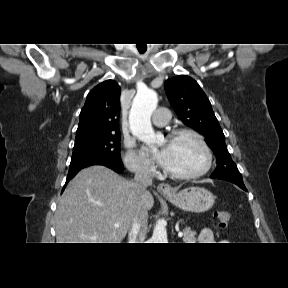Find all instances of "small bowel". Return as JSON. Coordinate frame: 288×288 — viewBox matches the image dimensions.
Segmentation results:
<instances>
[{"label": "small bowel", "instance_id": "1", "mask_svg": "<svg viewBox=\"0 0 288 288\" xmlns=\"http://www.w3.org/2000/svg\"><path fill=\"white\" fill-rule=\"evenodd\" d=\"M198 242L199 243H214L213 231L209 228L202 229L198 237ZM219 243H227V241L221 240Z\"/></svg>", "mask_w": 288, "mask_h": 288}]
</instances>
